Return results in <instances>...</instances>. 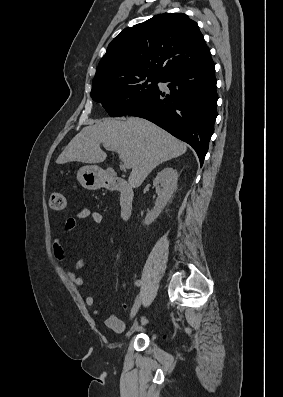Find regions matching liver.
<instances>
[{
  "label": "liver",
  "mask_w": 283,
  "mask_h": 397,
  "mask_svg": "<svg viewBox=\"0 0 283 397\" xmlns=\"http://www.w3.org/2000/svg\"><path fill=\"white\" fill-rule=\"evenodd\" d=\"M101 143L112 147L130 163L128 183L132 188L139 187L156 166L187 151V144L147 120L105 119L83 128L56 162L101 163L107 157L100 149Z\"/></svg>",
  "instance_id": "6515ba94"
}]
</instances>
